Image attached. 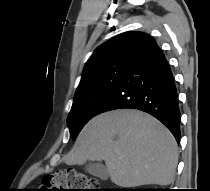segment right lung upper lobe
<instances>
[{
  "label": "right lung upper lobe",
  "instance_id": "1",
  "mask_svg": "<svg viewBox=\"0 0 210 191\" xmlns=\"http://www.w3.org/2000/svg\"><path fill=\"white\" fill-rule=\"evenodd\" d=\"M149 38L143 32H125L103 43L87 61L79 86L94 70L108 62L119 58L131 59Z\"/></svg>",
  "mask_w": 210,
  "mask_h": 191
}]
</instances>
